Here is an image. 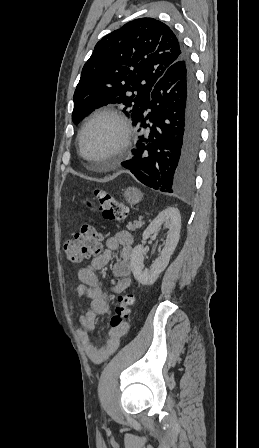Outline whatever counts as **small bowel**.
<instances>
[{"instance_id": "c3829d8e", "label": "small bowel", "mask_w": 259, "mask_h": 448, "mask_svg": "<svg viewBox=\"0 0 259 448\" xmlns=\"http://www.w3.org/2000/svg\"><path fill=\"white\" fill-rule=\"evenodd\" d=\"M133 237L128 231H119L113 236L107 238L104 249L97 254L91 263L78 271L80 284L76 288V297L82 296L89 298L88 306L80 314V324L82 329L78 331L79 338L85 348L89 359L100 364L107 360L119 347L120 339L129 329L128 323L120 327H111L108 330L105 343L102 345L94 344L89 333L94 332L96 325V316L106 314L110 311L108 296L98 277V271L105 267L111 260L112 254L120 250V258L112 266V275L116 278L111 290L114 293L126 291L130 285V259L132 254ZM73 309V303L70 305Z\"/></svg>"}]
</instances>
